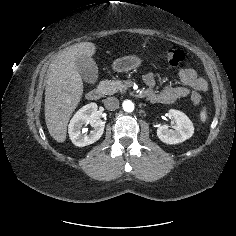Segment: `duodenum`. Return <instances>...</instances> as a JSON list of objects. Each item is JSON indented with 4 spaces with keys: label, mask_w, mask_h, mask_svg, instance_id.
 Returning <instances> with one entry per match:
<instances>
[{
    "label": "duodenum",
    "mask_w": 236,
    "mask_h": 236,
    "mask_svg": "<svg viewBox=\"0 0 236 236\" xmlns=\"http://www.w3.org/2000/svg\"><path fill=\"white\" fill-rule=\"evenodd\" d=\"M103 92H104L103 87L98 86L88 91L86 97L89 101H96L102 96Z\"/></svg>",
    "instance_id": "duodenum-1"
}]
</instances>
